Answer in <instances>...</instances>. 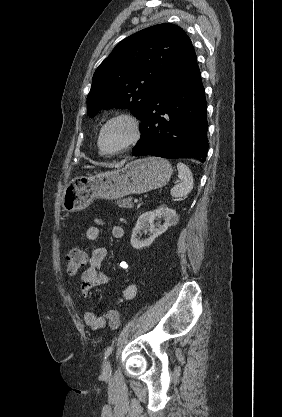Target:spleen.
I'll return each mask as SVG.
<instances>
[{
  "mask_svg": "<svg viewBox=\"0 0 282 417\" xmlns=\"http://www.w3.org/2000/svg\"><path fill=\"white\" fill-rule=\"evenodd\" d=\"M177 168L181 182L171 188V194L175 198H184L193 188V176L189 166H186L184 162H177Z\"/></svg>",
  "mask_w": 282,
  "mask_h": 417,
  "instance_id": "spleen-1",
  "label": "spleen"
}]
</instances>
